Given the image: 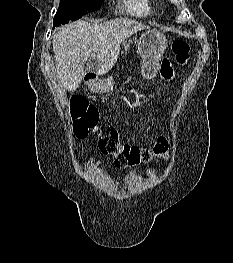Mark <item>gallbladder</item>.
<instances>
[{"mask_svg": "<svg viewBox=\"0 0 233 263\" xmlns=\"http://www.w3.org/2000/svg\"><path fill=\"white\" fill-rule=\"evenodd\" d=\"M87 66H88V70H92V62L91 61L87 64Z\"/></svg>", "mask_w": 233, "mask_h": 263, "instance_id": "obj_1", "label": "gallbladder"}]
</instances>
